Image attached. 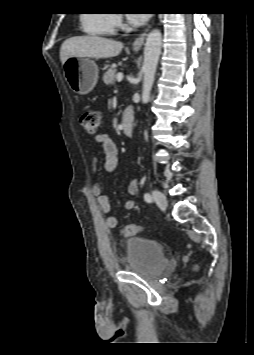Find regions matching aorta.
<instances>
[{"label":"aorta","instance_id":"762f6f07","mask_svg":"<svg viewBox=\"0 0 254 355\" xmlns=\"http://www.w3.org/2000/svg\"><path fill=\"white\" fill-rule=\"evenodd\" d=\"M162 35L160 30H152L146 39L144 47V61L142 66L143 88L142 101L147 102L150 98V92L153 86L158 60L161 53Z\"/></svg>","mask_w":254,"mask_h":355}]
</instances>
